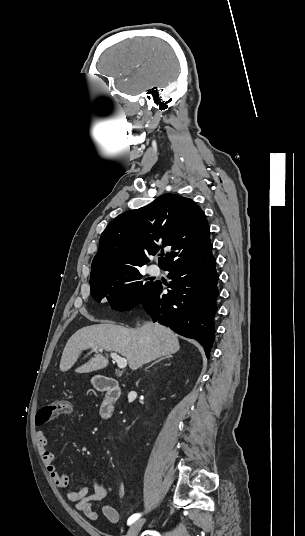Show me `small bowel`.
I'll return each instance as SVG.
<instances>
[{"label":"small bowel","mask_w":305,"mask_h":536,"mask_svg":"<svg viewBox=\"0 0 305 536\" xmlns=\"http://www.w3.org/2000/svg\"><path fill=\"white\" fill-rule=\"evenodd\" d=\"M36 444L41 456V459L46 467L48 474L54 481L55 485L61 489H66L69 485V478L65 473H61L55 464V455L48 449V440L46 435H35ZM107 488L105 484L99 480L95 481L94 492L89 494L88 487L82 485L78 490L67 491L66 497L73 502L76 508L85 516L96 519L97 513L94 511L95 504H101L103 515L111 523L119 521L118 511L109 504L102 503L106 496Z\"/></svg>","instance_id":"obj_1"}]
</instances>
